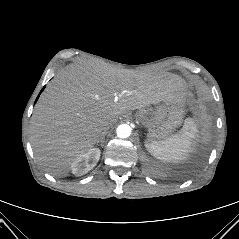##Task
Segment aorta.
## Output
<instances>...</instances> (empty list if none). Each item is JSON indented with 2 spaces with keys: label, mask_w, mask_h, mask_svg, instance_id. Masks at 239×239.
I'll return each mask as SVG.
<instances>
[{
  "label": "aorta",
  "mask_w": 239,
  "mask_h": 239,
  "mask_svg": "<svg viewBox=\"0 0 239 239\" xmlns=\"http://www.w3.org/2000/svg\"><path fill=\"white\" fill-rule=\"evenodd\" d=\"M132 128L127 124H121L117 127L116 134L119 138H128L131 135Z\"/></svg>",
  "instance_id": "762f6f07"
}]
</instances>
